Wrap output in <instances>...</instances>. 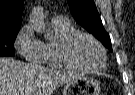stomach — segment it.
Listing matches in <instances>:
<instances>
[{"label": "stomach", "instance_id": "1", "mask_svg": "<svg viewBox=\"0 0 135 95\" xmlns=\"http://www.w3.org/2000/svg\"><path fill=\"white\" fill-rule=\"evenodd\" d=\"M100 92L97 80L89 76H80L65 84L63 95H100Z\"/></svg>", "mask_w": 135, "mask_h": 95}]
</instances>
